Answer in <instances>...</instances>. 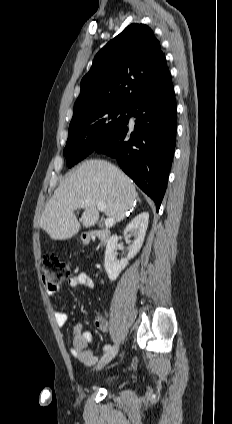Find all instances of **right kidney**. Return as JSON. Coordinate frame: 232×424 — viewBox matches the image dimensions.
I'll use <instances>...</instances> for the list:
<instances>
[{
    "instance_id": "obj_1",
    "label": "right kidney",
    "mask_w": 232,
    "mask_h": 424,
    "mask_svg": "<svg viewBox=\"0 0 232 424\" xmlns=\"http://www.w3.org/2000/svg\"><path fill=\"white\" fill-rule=\"evenodd\" d=\"M149 213L143 212L137 215L124 229V235L128 238L134 237L131 247L129 249L126 258L120 261L116 258L115 250L117 249L118 237L112 236L105 250V263L104 267L110 281H115L121 271L128 265L130 259H132L140 251L146 230L148 227Z\"/></svg>"
}]
</instances>
